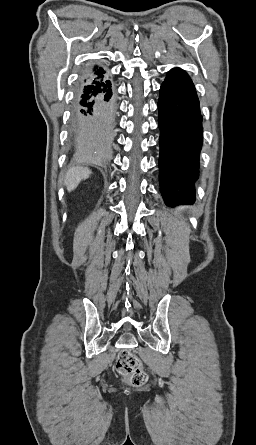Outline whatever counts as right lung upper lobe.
Returning <instances> with one entry per match:
<instances>
[{"label": "right lung upper lobe", "mask_w": 256, "mask_h": 445, "mask_svg": "<svg viewBox=\"0 0 256 445\" xmlns=\"http://www.w3.org/2000/svg\"><path fill=\"white\" fill-rule=\"evenodd\" d=\"M107 79H109V77L106 74V71L102 67L95 65L93 68H90L86 71L80 83V86L96 85L104 82Z\"/></svg>", "instance_id": "1"}]
</instances>
